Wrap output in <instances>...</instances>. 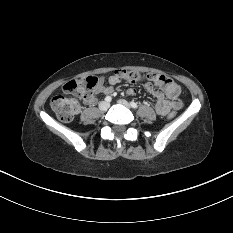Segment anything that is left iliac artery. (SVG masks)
<instances>
[{"label": "left iliac artery", "instance_id": "obj_1", "mask_svg": "<svg viewBox=\"0 0 233 233\" xmlns=\"http://www.w3.org/2000/svg\"><path fill=\"white\" fill-rule=\"evenodd\" d=\"M130 105H131L133 108H135V109L138 108L137 103H135V102H133V101L130 103Z\"/></svg>", "mask_w": 233, "mask_h": 233}]
</instances>
